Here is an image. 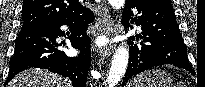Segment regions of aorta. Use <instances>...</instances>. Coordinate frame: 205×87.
<instances>
[{
  "label": "aorta",
  "instance_id": "1",
  "mask_svg": "<svg viewBox=\"0 0 205 87\" xmlns=\"http://www.w3.org/2000/svg\"><path fill=\"white\" fill-rule=\"evenodd\" d=\"M114 8L124 6L125 0H108ZM129 61V51L125 46H119L116 50L109 70L107 84L108 87H115L124 75Z\"/></svg>",
  "mask_w": 205,
  "mask_h": 87
}]
</instances>
